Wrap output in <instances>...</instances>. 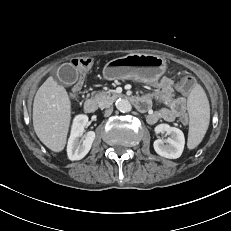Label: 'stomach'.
Segmentation results:
<instances>
[{"label": "stomach", "mask_w": 231, "mask_h": 231, "mask_svg": "<svg viewBox=\"0 0 231 231\" xmlns=\"http://www.w3.org/2000/svg\"><path fill=\"white\" fill-rule=\"evenodd\" d=\"M166 61L153 54H129L109 61L103 76L107 80L132 79L143 83H154L164 74Z\"/></svg>", "instance_id": "obj_1"}]
</instances>
